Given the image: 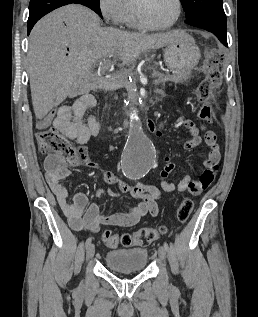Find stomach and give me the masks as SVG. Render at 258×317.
Listing matches in <instances>:
<instances>
[{
	"mask_svg": "<svg viewBox=\"0 0 258 317\" xmlns=\"http://www.w3.org/2000/svg\"><path fill=\"white\" fill-rule=\"evenodd\" d=\"M200 50L188 32H183L181 40L167 44L164 48L166 66L177 76H186L199 62Z\"/></svg>",
	"mask_w": 258,
	"mask_h": 317,
	"instance_id": "0dacf381",
	"label": "stomach"
}]
</instances>
